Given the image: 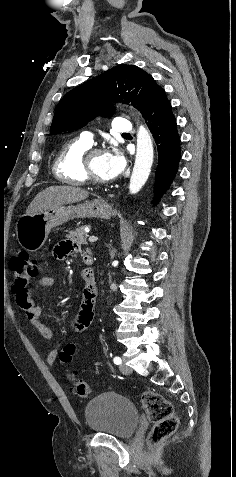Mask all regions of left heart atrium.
<instances>
[{"label":"left heart atrium","instance_id":"left-heart-atrium-1","mask_svg":"<svg viewBox=\"0 0 236 477\" xmlns=\"http://www.w3.org/2000/svg\"><path fill=\"white\" fill-rule=\"evenodd\" d=\"M106 168L110 179L117 177L124 169L125 161L122 154L117 150H112L105 154Z\"/></svg>","mask_w":236,"mask_h":477}]
</instances>
